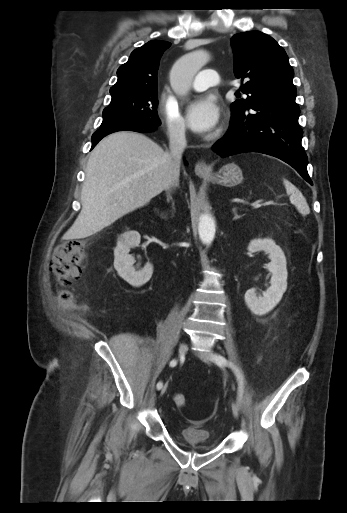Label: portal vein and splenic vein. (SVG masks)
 Returning <instances> with one entry per match:
<instances>
[{"mask_svg":"<svg viewBox=\"0 0 347 513\" xmlns=\"http://www.w3.org/2000/svg\"><path fill=\"white\" fill-rule=\"evenodd\" d=\"M273 204H274V202H273V201H267V202L262 203V204H255V205L253 206V208H254V209H259L262 205H273Z\"/></svg>","mask_w":347,"mask_h":513,"instance_id":"1","label":"portal vein and splenic vein"}]
</instances>
